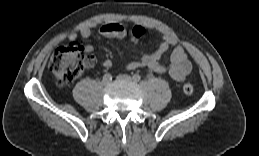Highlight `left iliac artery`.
<instances>
[{"label":"left iliac artery","instance_id":"1","mask_svg":"<svg viewBox=\"0 0 259 156\" xmlns=\"http://www.w3.org/2000/svg\"><path fill=\"white\" fill-rule=\"evenodd\" d=\"M133 80L136 81V82H139L141 80V76L139 74H134Z\"/></svg>","mask_w":259,"mask_h":156}]
</instances>
